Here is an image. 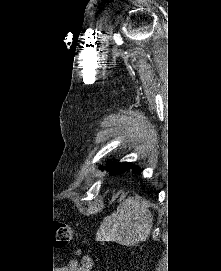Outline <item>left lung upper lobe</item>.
Wrapping results in <instances>:
<instances>
[{"label":"left lung upper lobe","mask_w":221,"mask_h":271,"mask_svg":"<svg viewBox=\"0 0 221 271\" xmlns=\"http://www.w3.org/2000/svg\"><path fill=\"white\" fill-rule=\"evenodd\" d=\"M107 163L110 164L111 162L108 161ZM130 166H131L130 163L124 162V163L112 164L109 168L100 166L99 169L102 171L106 169L111 175H117L129 170Z\"/></svg>","instance_id":"obj_1"}]
</instances>
